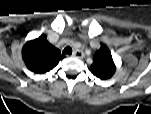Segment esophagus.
<instances>
[{"label": "esophagus", "instance_id": "esophagus-1", "mask_svg": "<svg viewBox=\"0 0 151 114\" xmlns=\"http://www.w3.org/2000/svg\"><path fill=\"white\" fill-rule=\"evenodd\" d=\"M72 55L76 58H79V59L84 57V53L81 50H75Z\"/></svg>", "mask_w": 151, "mask_h": 114}]
</instances>
